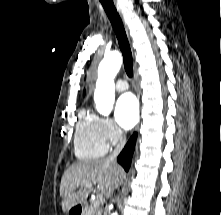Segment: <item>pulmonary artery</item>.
I'll return each instance as SVG.
<instances>
[{"label":"pulmonary artery","mask_w":221,"mask_h":215,"mask_svg":"<svg viewBox=\"0 0 221 215\" xmlns=\"http://www.w3.org/2000/svg\"><path fill=\"white\" fill-rule=\"evenodd\" d=\"M115 88L117 91H125L128 89V83L124 79H119L116 81Z\"/></svg>","instance_id":"1"}]
</instances>
